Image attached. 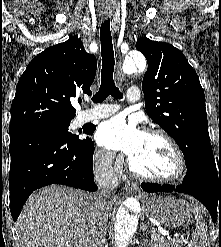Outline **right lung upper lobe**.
Here are the masks:
<instances>
[{
	"label": "right lung upper lobe",
	"instance_id": "obj_1",
	"mask_svg": "<svg viewBox=\"0 0 221 247\" xmlns=\"http://www.w3.org/2000/svg\"><path fill=\"white\" fill-rule=\"evenodd\" d=\"M96 69V57L86 53L76 36L38 54L18 81L9 129L71 122L75 110L70 98L91 94Z\"/></svg>",
	"mask_w": 221,
	"mask_h": 247
}]
</instances>
